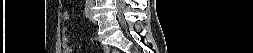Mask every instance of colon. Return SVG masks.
Here are the masks:
<instances>
[{"mask_svg":"<svg viewBox=\"0 0 253 53\" xmlns=\"http://www.w3.org/2000/svg\"><path fill=\"white\" fill-rule=\"evenodd\" d=\"M91 43H92L94 46H101V42H100L97 38H93V39L91 40ZM106 52H112V51H110L109 49H107Z\"/></svg>","mask_w":253,"mask_h":53,"instance_id":"colon-1","label":"colon"}]
</instances>
